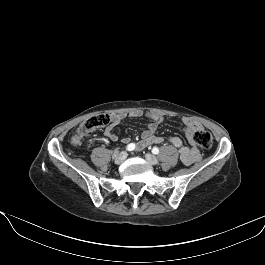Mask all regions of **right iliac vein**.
<instances>
[{
    "mask_svg": "<svg viewBox=\"0 0 265 265\" xmlns=\"http://www.w3.org/2000/svg\"><path fill=\"white\" fill-rule=\"evenodd\" d=\"M126 158H127V153L125 151H122L116 156L115 163L121 164L125 161Z\"/></svg>",
    "mask_w": 265,
    "mask_h": 265,
    "instance_id": "1",
    "label": "right iliac vein"
}]
</instances>
